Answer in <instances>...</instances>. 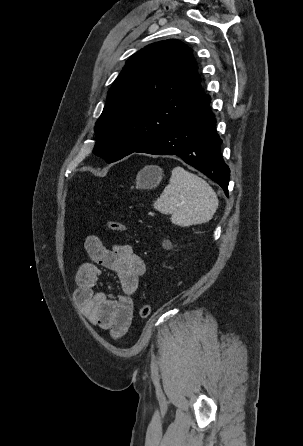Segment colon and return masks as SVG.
Returning a JSON list of instances; mask_svg holds the SVG:
<instances>
[{
  "instance_id": "colon-1",
  "label": "colon",
  "mask_w": 303,
  "mask_h": 446,
  "mask_svg": "<svg viewBox=\"0 0 303 446\" xmlns=\"http://www.w3.org/2000/svg\"><path fill=\"white\" fill-rule=\"evenodd\" d=\"M106 224H107V227L112 231L120 232V233H123L126 231V225L119 221L108 220L106 222ZM150 313H151L150 305L145 304L140 308L139 315L141 318H147L150 315Z\"/></svg>"
}]
</instances>
